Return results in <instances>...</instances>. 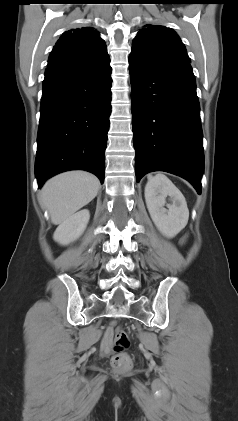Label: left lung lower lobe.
I'll use <instances>...</instances> for the list:
<instances>
[{
	"instance_id": "left-lung-lower-lobe-1",
	"label": "left lung lower lobe",
	"mask_w": 238,
	"mask_h": 421,
	"mask_svg": "<svg viewBox=\"0 0 238 421\" xmlns=\"http://www.w3.org/2000/svg\"><path fill=\"white\" fill-rule=\"evenodd\" d=\"M137 182L152 171L188 180L201 193L200 106L189 61L149 63L129 56Z\"/></svg>"
}]
</instances>
